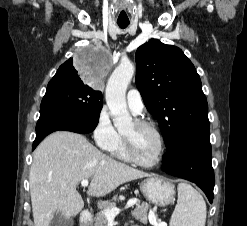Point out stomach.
<instances>
[{
	"instance_id": "obj_1",
	"label": "stomach",
	"mask_w": 247,
	"mask_h": 226,
	"mask_svg": "<svg viewBox=\"0 0 247 226\" xmlns=\"http://www.w3.org/2000/svg\"><path fill=\"white\" fill-rule=\"evenodd\" d=\"M174 185L161 177H149L140 183L143 195L154 204L165 206L174 200Z\"/></svg>"
}]
</instances>
